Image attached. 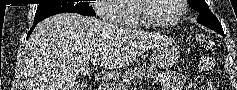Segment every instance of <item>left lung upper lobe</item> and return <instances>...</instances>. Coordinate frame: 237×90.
I'll return each instance as SVG.
<instances>
[{"label": "left lung upper lobe", "instance_id": "obj_1", "mask_svg": "<svg viewBox=\"0 0 237 90\" xmlns=\"http://www.w3.org/2000/svg\"><path fill=\"white\" fill-rule=\"evenodd\" d=\"M189 6L199 12L197 22L204 25L221 35H224L222 26L216 16L210 11L205 0H188Z\"/></svg>", "mask_w": 237, "mask_h": 90}]
</instances>
